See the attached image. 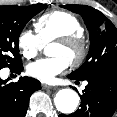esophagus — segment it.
Returning <instances> with one entry per match:
<instances>
[{
	"instance_id": "obj_1",
	"label": "esophagus",
	"mask_w": 117,
	"mask_h": 117,
	"mask_svg": "<svg viewBox=\"0 0 117 117\" xmlns=\"http://www.w3.org/2000/svg\"><path fill=\"white\" fill-rule=\"evenodd\" d=\"M42 87H43L44 89H54V88H55V87L50 86V85H47V84H42Z\"/></svg>"
}]
</instances>
